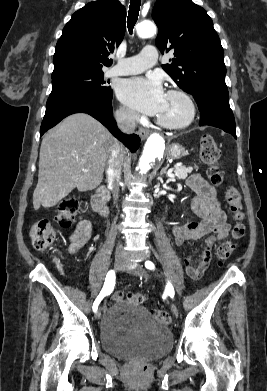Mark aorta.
Segmentation results:
<instances>
[{"instance_id":"aorta-1","label":"aorta","mask_w":267,"mask_h":391,"mask_svg":"<svg viewBox=\"0 0 267 391\" xmlns=\"http://www.w3.org/2000/svg\"><path fill=\"white\" fill-rule=\"evenodd\" d=\"M140 38H148L156 33V26L151 21H143L136 26ZM164 139L158 134H152L146 141L137 169L141 174L147 173L156 160L163 155Z\"/></svg>"}]
</instances>
